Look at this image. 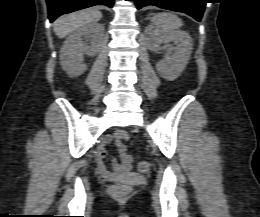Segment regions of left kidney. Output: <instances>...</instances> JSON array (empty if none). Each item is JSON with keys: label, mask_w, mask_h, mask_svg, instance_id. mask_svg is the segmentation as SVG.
Instances as JSON below:
<instances>
[{"label": "left kidney", "mask_w": 260, "mask_h": 217, "mask_svg": "<svg viewBox=\"0 0 260 217\" xmlns=\"http://www.w3.org/2000/svg\"><path fill=\"white\" fill-rule=\"evenodd\" d=\"M171 41L176 44L175 47L168 45L171 55H166L156 64L159 75L169 81L178 78L188 64L191 54L189 37L184 34L153 29L148 38V48L151 51H157L161 42L169 43Z\"/></svg>", "instance_id": "1"}]
</instances>
